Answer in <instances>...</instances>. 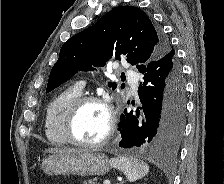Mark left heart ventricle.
<instances>
[{
  "label": "left heart ventricle",
  "mask_w": 224,
  "mask_h": 184,
  "mask_svg": "<svg viewBox=\"0 0 224 184\" xmlns=\"http://www.w3.org/2000/svg\"><path fill=\"white\" fill-rule=\"evenodd\" d=\"M108 127V113L106 109L95 103L86 104L79 112L74 132L83 142H96L102 139Z\"/></svg>",
  "instance_id": "b2bd125f"
}]
</instances>
